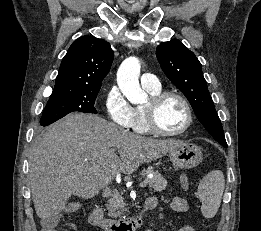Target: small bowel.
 Masks as SVG:
<instances>
[{
	"mask_svg": "<svg viewBox=\"0 0 261 231\" xmlns=\"http://www.w3.org/2000/svg\"><path fill=\"white\" fill-rule=\"evenodd\" d=\"M181 179L184 182V190L188 189V179L185 175L181 176ZM146 202H149L153 205V208L156 207L158 205V199L154 196L149 197ZM171 207L173 210L178 211V212H186L189 209L188 203L186 202V200L180 198V197H176L172 200L171 203ZM145 231H154L152 229L149 230H145ZM178 231H195L193 226L190 224L184 225L182 228H180Z\"/></svg>",
	"mask_w": 261,
	"mask_h": 231,
	"instance_id": "obj_1",
	"label": "small bowel"
}]
</instances>
